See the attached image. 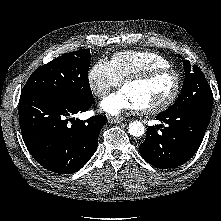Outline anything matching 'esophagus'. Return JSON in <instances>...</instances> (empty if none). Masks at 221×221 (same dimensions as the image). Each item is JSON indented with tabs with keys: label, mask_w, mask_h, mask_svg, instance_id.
<instances>
[{
	"label": "esophagus",
	"mask_w": 221,
	"mask_h": 221,
	"mask_svg": "<svg viewBox=\"0 0 221 221\" xmlns=\"http://www.w3.org/2000/svg\"><path fill=\"white\" fill-rule=\"evenodd\" d=\"M122 121H124V118L122 117H112V116L108 117V122L111 124L120 123Z\"/></svg>",
	"instance_id": "esophagus-1"
}]
</instances>
